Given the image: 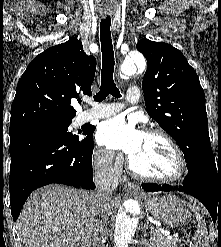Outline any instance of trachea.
Listing matches in <instances>:
<instances>
[{
  "label": "trachea",
  "mask_w": 221,
  "mask_h": 247,
  "mask_svg": "<svg viewBox=\"0 0 221 247\" xmlns=\"http://www.w3.org/2000/svg\"><path fill=\"white\" fill-rule=\"evenodd\" d=\"M110 26L111 19L109 16L101 20L100 41L102 51V70L100 90L96 96H94V100L97 102L103 101L109 94L116 98L121 97L120 91L113 80L115 61Z\"/></svg>",
  "instance_id": "trachea-1"
}]
</instances>
